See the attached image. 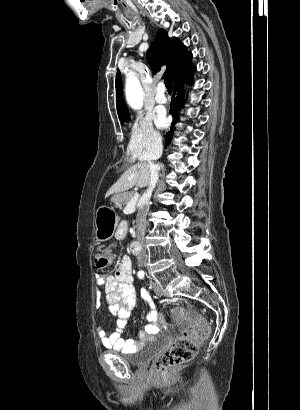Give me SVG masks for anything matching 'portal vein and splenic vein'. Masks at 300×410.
Wrapping results in <instances>:
<instances>
[{
    "label": "portal vein and splenic vein",
    "mask_w": 300,
    "mask_h": 410,
    "mask_svg": "<svg viewBox=\"0 0 300 410\" xmlns=\"http://www.w3.org/2000/svg\"><path fill=\"white\" fill-rule=\"evenodd\" d=\"M139 199V194L135 193V195L132 197V199L128 202L126 205L124 212L125 213H131L135 210L136 203L138 202Z\"/></svg>",
    "instance_id": "obj_1"
}]
</instances>
